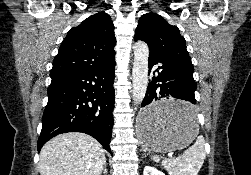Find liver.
Masks as SVG:
<instances>
[{"instance_id":"6515ba94","label":"liver","mask_w":251,"mask_h":175,"mask_svg":"<svg viewBox=\"0 0 251 175\" xmlns=\"http://www.w3.org/2000/svg\"><path fill=\"white\" fill-rule=\"evenodd\" d=\"M105 151L86 133H61L40 151V175H101Z\"/></svg>"}]
</instances>
